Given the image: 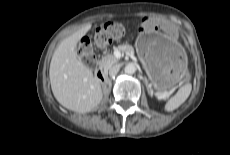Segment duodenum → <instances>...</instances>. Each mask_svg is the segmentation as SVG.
<instances>
[{
    "instance_id": "duodenum-1",
    "label": "duodenum",
    "mask_w": 230,
    "mask_h": 155,
    "mask_svg": "<svg viewBox=\"0 0 230 155\" xmlns=\"http://www.w3.org/2000/svg\"><path fill=\"white\" fill-rule=\"evenodd\" d=\"M95 74L98 80H100L101 82H105L108 79L106 70L104 68H98Z\"/></svg>"
}]
</instances>
